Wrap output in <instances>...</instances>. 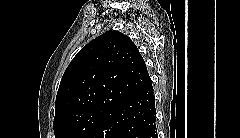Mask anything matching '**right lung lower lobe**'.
<instances>
[{
	"label": "right lung lower lobe",
	"instance_id": "obj_1",
	"mask_svg": "<svg viewBox=\"0 0 240 138\" xmlns=\"http://www.w3.org/2000/svg\"><path fill=\"white\" fill-rule=\"evenodd\" d=\"M152 84L113 106L87 138H157Z\"/></svg>",
	"mask_w": 240,
	"mask_h": 138
}]
</instances>
